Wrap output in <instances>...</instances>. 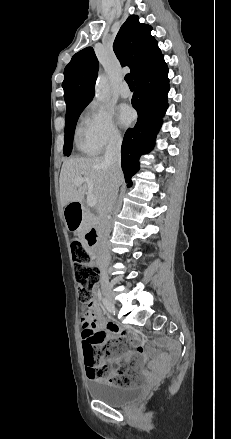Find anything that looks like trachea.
Listing matches in <instances>:
<instances>
[{"mask_svg":"<svg viewBox=\"0 0 231 439\" xmlns=\"http://www.w3.org/2000/svg\"><path fill=\"white\" fill-rule=\"evenodd\" d=\"M125 81L127 82V84L129 85V87H134V82L132 79V75L131 74H127L125 76Z\"/></svg>","mask_w":231,"mask_h":439,"instance_id":"3493384b","label":"trachea"}]
</instances>
